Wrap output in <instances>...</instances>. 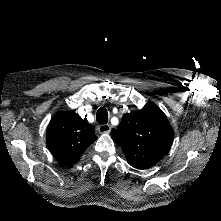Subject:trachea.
<instances>
[{"mask_svg":"<svg viewBox=\"0 0 221 221\" xmlns=\"http://www.w3.org/2000/svg\"><path fill=\"white\" fill-rule=\"evenodd\" d=\"M96 120L99 124H106L108 123V112L104 107L98 109L96 113Z\"/></svg>","mask_w":221,"mask_h":221,"instance_id":"3493384b","label":"trachea"}]
</instances>
